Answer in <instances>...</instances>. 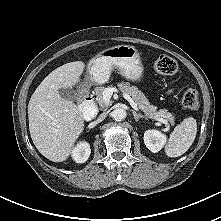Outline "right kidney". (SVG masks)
I'll return each instance as SVG.
<instances>
[{
  "label": "right kidney",
  "instance_id": "obj_1",
  "mask_svg": "<svg viewBox=\"0 0 221 221\" xmlns=\"http://www.w3.org/2000/svg\"><path fill=\"white\" fill-rule=\"evenodd\" d=\"M91 153L90 145L82 141L72 151V158L76 163H84L88 160Z\"/></svg>",
  "mask_w": 221,
  "mask_h": 221
}]
</instances>
